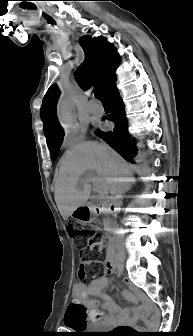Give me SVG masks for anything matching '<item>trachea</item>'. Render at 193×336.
<instances>
[{"mask_svg": "<svg viewBox=\"0 0 193 336\" xmlns=\"http://www.w3.org/2000/svg\"><path fill=\"white\" fill-rule=\"evenodd\" d=\"M94 95H95V97H96L97 99H99L102 103H106V99L104 98L103 94H102L99 90L95 91Z\"/></svg>", "mask_w": 193, "mask_h": 336, "instance_id": "trachea-1", "label": "trachea"}]
</instances>
